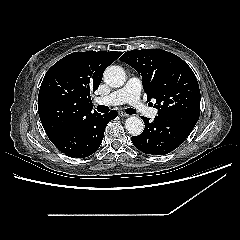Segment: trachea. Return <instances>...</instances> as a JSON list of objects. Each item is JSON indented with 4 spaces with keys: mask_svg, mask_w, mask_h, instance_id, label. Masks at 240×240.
Segmentation results:
<instances>
[{
    "mask_svg": "<svg viewBox=\"0 0 240 240\" xmlns=\"http://www.w3.org/2000/svg\"><path fill=\"white\" fill-rule=\"evenodd\" d=\"M99 112L101 113H108L109 112V107L108 106H104V105H99L96 108ZM125 112L127 114H136V110H134L133 108H127L125 109Z\"/></svg>",
    "mask_w": 240,
    "mask_h": 240,
    "instance_id": "obj_1",
    "label": "trachea"
}]
</instances>
